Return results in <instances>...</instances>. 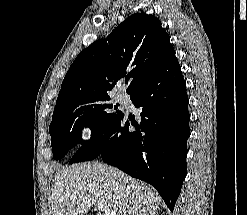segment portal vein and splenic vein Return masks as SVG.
<instances>
[{
    "instance_id": "18ae733b",
    "label": "portal vein and splenic vein",
    "mask_w": 247,
    "mask_h": 215,
    "mask_svg": "<svg viewBox=\"0 0 247 215\" xmlns=\"http://www.w3.org/2000/svg\"><path fill=\"white\" fill-rule=\"evenodd\" d=\"M97 208H98V209H105V212L108 213V211L106 210V208L103 207L101 204H98Z\"/></svg>"
}]
</instances>
